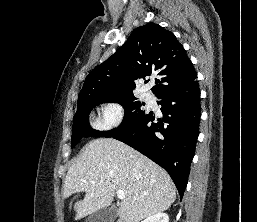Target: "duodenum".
<instances>
[{
    "mask_svg": "<svg viewBox=\"0 0 257 222\" xmlns=\"http://www.w3.org/2000/svg\"><path fill=\"white\" fill-rule=\"evenodd\" d=\"M117 222H126L124 219H118Z\"/></svg>",
    "mask_w": 257,
    "mask_h": 222,
    "instance_id": "410a0bca",
    "label": "duodenum"
}]
</instances>
